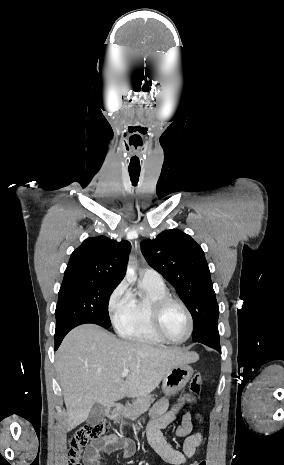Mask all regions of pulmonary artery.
<instances>
[{
	"label": "pulmonary artery",
	"mask_w": 284,
	"mask_h": 465,
	"mask_svg": "<svg viewBox=\"0 0 284 465\" xmlns=\"http://www.w3.org/2000/svg\"><path fill=\"white\" fill-rule=\"evenodd\" d=\"M140 277L148 283H163L162 276L154 269L144 268L140 271Z\"/></svg>",
	"instance_id": "e3ab8cb5"
}]
</instances>
